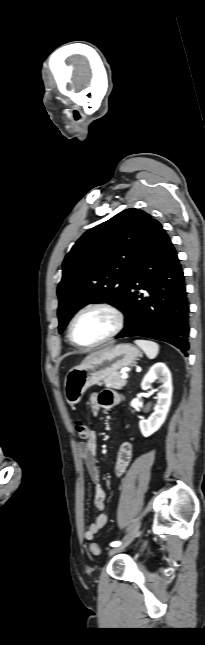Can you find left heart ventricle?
Returning <instances> with one entry per match:
<instances>
[{
	"label": "left heart ventricle",
	"instance_id": "1",
	"mask_svg": "<svg viewBox=\"0 0 205 645\" xmlns=\"http://www.w3.org/2000/svg\"><path fill=\"white\" fill-rule=\"evenodd\" d=\"M113 326L112 317L102 310H88L76 320L74 337L81 343H92L106 336Z\"/></svg>",
	"mask_w": 205,
	"mask_h": 645
}]
</instances>
